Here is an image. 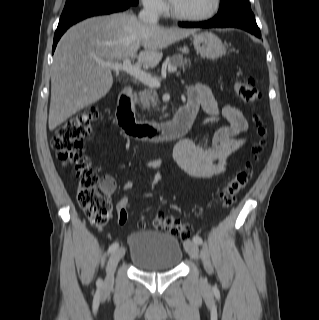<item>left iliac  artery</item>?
Masks as SVG:
<instances>
[{
    "instance_id": "1",
    "label": "left iliac artery",
    "mask_w": 319,
    "mask_h": 320,
    "mask_svg": "<svg viewBox=\"0 0 319 320\" xmlns=\"http://www.w3.org/2000/svg\"><path fill=\"white\" fill-rule=\"evenodd\" d=\"M193 241L196 242L199 245H201L203 243L202 238L200 236H198V235L193 237Z\"/></svg>"
}]
</instances>
